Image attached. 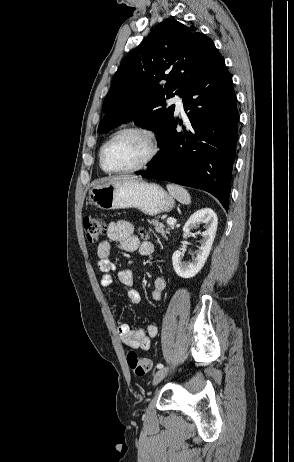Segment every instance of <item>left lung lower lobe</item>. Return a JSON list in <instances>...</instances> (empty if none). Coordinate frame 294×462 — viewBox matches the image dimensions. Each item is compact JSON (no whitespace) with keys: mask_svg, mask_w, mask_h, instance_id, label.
I'll list each match as a JSON object with an SVG mask.
<instances>
[{"mask_svg":"<svg viewBox=\"0 0 294 462\" xmlns=\"http://www.w3.org/2000/svg\"><path fill=\"white\" fill-rule=\"evenodd\" d=\"M190 120L178 133L172 121L155 156L138 175L205 190L229 209L239 113L232 78L221 58L206 67L183 93Z\"/></svg>","mask_w":294,"mask_h":462,"instance_id":"1","label":"left lung lower lobe"}]
</instances>
